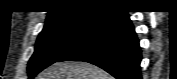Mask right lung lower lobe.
<instances>
[{
  "label": "right lung lower lobe",
  "mask_w": 177,
  "mask_h": 79,
  "mask_svg": "<svg viewBox=\"0 0 177 79\" xmlns=\"http://www.w3.org/2000/svg\"><path fill=\"white\" fill-rule=\"evenodd\" d=\"M85 61L116 79H141V51L134 27L125 11H111L74 48L57 60Z\"/></svg>",
  "instance_id": "right-lung-lower-lobe-1"
}]
</instances>
